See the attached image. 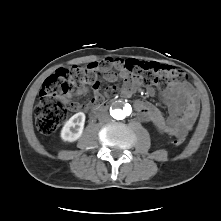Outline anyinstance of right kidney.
I'll list each match as a JSON object with an SVG mask.
<instances>
[{
    "mask_svg": "<svg viewBox=\"0 0 221 221\" xmlns=\"http://www.w3.org/2000/svg\"><path fill=\"white\" fill-rule=\"evenodd\" d=\"M85 123V114L83 112L73 115L63 126L61 138L63 141L74 142L82 135Z\"/></svg>",
    "mask_w": 221,
    "mask_h": 221,
    "instance_id": "ca27d5eb",
    "label": "right kidney"
}]
</instances>
